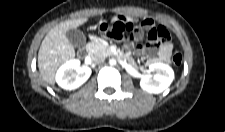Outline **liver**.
<instances>
[{"instance_id": "6515ba94", "label": "liver", "mask_w": 225, "mask_h": 132, "mask_svg": "<svg viewBox=\"0 0 225 132\" xmlns=\"http://www.w3.org/2000/svg\"><path fill=\"white\" fill-rule=\"evenodd\" d=\"M88 21L87 17L61 22L52 28L43 39L38 52V68L42 79L49 85L55 84L58 67L75 57L74 46L66 32L76 29Z\"/></svg>"}]
</instances>
